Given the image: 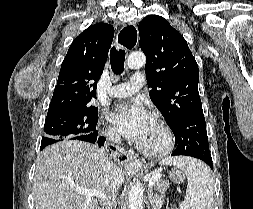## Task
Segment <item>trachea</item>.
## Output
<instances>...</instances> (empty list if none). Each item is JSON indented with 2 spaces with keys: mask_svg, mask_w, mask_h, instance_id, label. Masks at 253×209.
<instances>
[{
  "mask_svg": "<svg viewBox=\"0 0 253 209\" xmlns=\"http://www.w3.org/2000/svg\"><path fill=\"white\" fill-rule=\"evenodd\" d=\"M125 51L117 50L113 47L110 51L111 69L115 74H121L124 71Z\"/></svg>",
  "mask_w": 253,
  "mask_h": 209,
  "instance_id": "3493384b",
  "label": "trachea"
}]
</instances>
